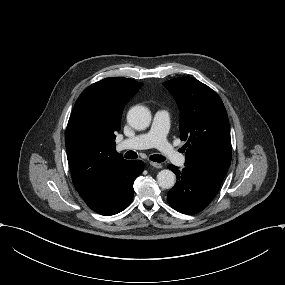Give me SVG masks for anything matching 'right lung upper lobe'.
Segmentation results:
<instances>
[{
    "mask_svg": "<svg viewBox=\"0 0 285 285\" xmlns=\"http://www.w3.org/2000/svg\"><path fill=\"white\" fill-rule=\"evenodd\" d=\"M142 86L132 79L106 78L86 88L70 116L65 144L73 184L88 203L127 161L116 151L124 105Z\"/></svg>",
    "mask_w": 285,
    "mask_h": 285,
    "instance_id": "cb5924a9",
    "label": "right lung upper lobe"
}]
</instances>
